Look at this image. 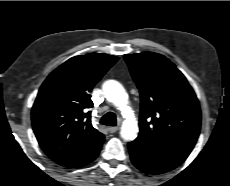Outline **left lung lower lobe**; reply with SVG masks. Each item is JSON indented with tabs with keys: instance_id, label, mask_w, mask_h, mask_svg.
I'll list each match as a JSON object with an SVG mask.
<instances>
[{
	"instance_id": "left-lung-lower-lobe-1",
	"label": "left lung lower lobe",
	"mask_w": 230,
	"mask_h": 186,
	"mask_svg": "<svg viewBox=\"0 0 230 186\" xmlns=\"http://www.w3.org/2000/svg\"><path fill=\"white\" fill-rule=\"evenodd\" d=\"M134 166L147 174H162L179 166L190 152L158 146L151 141L135 139L128 143Z\"/></svg>"
}]
</instances>
